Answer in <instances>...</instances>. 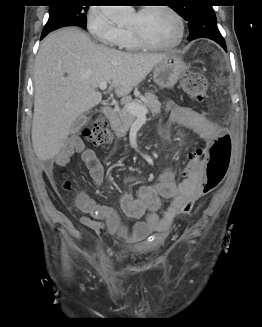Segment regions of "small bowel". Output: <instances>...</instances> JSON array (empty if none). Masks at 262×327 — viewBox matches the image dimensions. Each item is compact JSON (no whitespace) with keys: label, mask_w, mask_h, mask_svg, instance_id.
<instances>
[{"label":"small bowel","mask_w":262,"mask_h":327,"mask_svg":"<svg viewBox=\"0 0 262 327\" xmlns=\"http://www.w3.org/2000/svg\"><path fill=\"white\" fill-rule=\"evenodd\" d=\"M166 109L171 113L173 122L193 131L208 145L216 143L219 135V125L211 122L203 113L192 108L178 105L170 100L166 102ZM80 154L81 159L88 168L91 178L96 186H101L104 179V168L95 152L87 148L83 141L72 136L62 150L55 156L52 163L45 166V173L53 178V166H64L74 154ZM207 153H186L182 165L187 166L181 171L184 177L176 181L173 171H165L155 185L143 186L138 196L134 197L124 192L119 199L122 212L129 218L138 220L132 227L121 223L118 213L111 208L101 206L86 193H78L75 200L76 208L101 221L90 217H82L81 223L95 232H100L104 224L108 231L126 241H139L152 232H165L173 219L182 214L181 208L188 197L197 194L201 183L205 181L204 166L200 160H207ZM161 199H169L170 204L164 214L160 216Z\"/></svg>","instance_id":"obj_1"}]
</instances>
